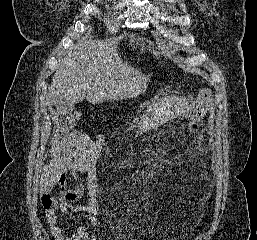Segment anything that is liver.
Segmentation results:
<instances>
[{
  "mask_svg": "<svg viewBox=\"0 0 257 240\" xmlns=\"http://www.w3.org/2000/svg\"><path fill=\"white\" fill-rule=\"evenodd\" d=\"M142 79L140 70L123 62L116 46L85 36L58 64L48 102L55 105L59 95L72 104L86 98L94 105L136 97Z\"/></svg>",
  "mask_w": 257,
  "mask_h": 240,
  "instance_id": "obj_1",
  "label": "liver"
}]
</instances>
